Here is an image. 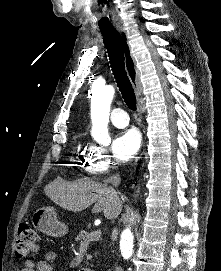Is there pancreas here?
Returning <instances> with one entry per match:
<instances>
[{"label": "pancreas", "instance_id": "obj_1", "mask_svg": "<svg viewBox=\"0 0 221 271\" xmlns=\"http://www.w3.org/2000/svg\"><path fill=\"white\" fill-rule=\"evenodd\" d=\"M87 234H90L89 231H79L77 237H74V242H86L87 240Z\"/></svg>", "mask_w": 221, "mask_h": 271}]
</instances>
